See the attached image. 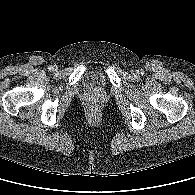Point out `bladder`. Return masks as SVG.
<instances>
[{
	"instance_id": "obj_1",
	"label": "bladder",
	"mask_w": 195,
	"mask_h": 195,
	"mask_svg": "<svg viewBox=\"0 0 195 195\" xmlns=\"http://www.w3.org/2000/svg\"><path fill=\"white\" fill-rule=\"evenodd\" d=\"M84 84L86 88L90 90H103L105 87V79L103 73L97 69L90 70L85 76Z\"/></svg>"
}]
</instances>
